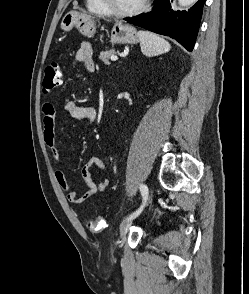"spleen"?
Segmentation results:
<instances>
[{"mask_svg": "<svg viewBox=\"0 0 249 294\" xmlns=\"http://www.w3.org/2000/svg\"><path fill=\"white\" fill-rule=\"evenodd\" d=\"M141 51L148 57L158 56L167 53L171 49L168 41L149 31L138 32Z\"/></svg>", "mask_w": 249, "mask_h": 294, "instance_id": "3e777b00", "label": "spleen"}]
</instances>
